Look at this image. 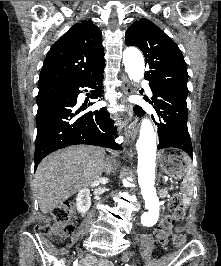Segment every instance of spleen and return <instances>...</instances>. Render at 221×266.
<instances>
[{"label":"spleen","mask_w":221,"mask_h":266,"mask_svg":"<svg viewBox=\"0 0 221 266\" xmlns=\"http://www.w3.org/2000/svg\"><path fill=\"white\" fill-rule=\"evenodd\" d=\"M186 162L188 164L189 169H188L187 176L183 179V182H182V192H183L184 204L189 205L190 200H191L190 197L193 193L194 178L192 175L193 167L191 165V162L188 156L186 158Z\"/></svg>","instance_id":"3e777b00"}]
</instances>
